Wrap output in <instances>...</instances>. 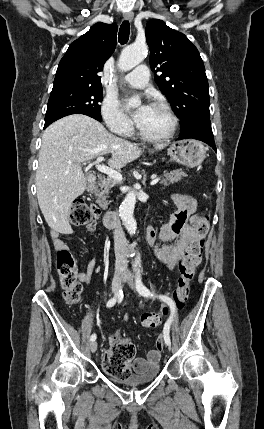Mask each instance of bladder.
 Instances as JSON below:
<instances>
[{
  "mask_svg": "<svg viewBox=\"0 0 264 429\" xmlns=\"http://www.w3.org/2000/svg\"><path fill=\"white\" fill-rule=\"evenodd\" d=\"M159 373V366L156 365L154 367L149 368L144 373H132L126 377H116L114 375H110L109 378L112 382L116 384L126 387H135L154 381L158 377Z\"/></svg>",
  "mask_w": 264,
  "mask_h": 429,
  "instance_id": "bladder-1",
  "label": "bladder"
}]
</instances>
